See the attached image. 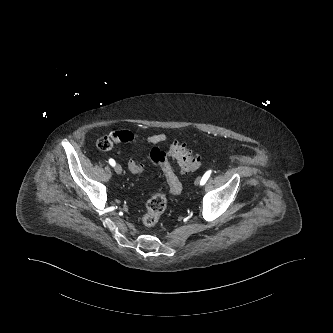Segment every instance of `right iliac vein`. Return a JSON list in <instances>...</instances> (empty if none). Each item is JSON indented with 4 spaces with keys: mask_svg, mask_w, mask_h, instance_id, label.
<instances>
[{
    "mask_svg": "<svg viewBox=\"0 0 333 333\" xmlns=\"http://www.w3.org/2000/svg\"><path fill=\"white\" fill-rule=\"evenodd\" d=\"M114 170H115V172H116L117 174H122V167H121V165L116 164V165L114 166Z\"/></svg>",
    "mask_w": 333,
    "mask_h": 333,
    "instance_id": "63e3f726",
    "label": "right iliac vein"
}]
</instances>
